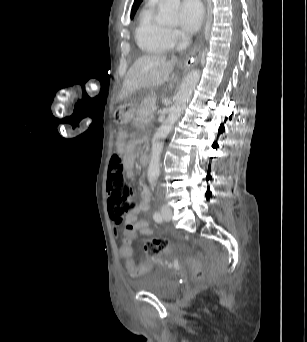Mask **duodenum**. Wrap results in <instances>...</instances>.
<instances>
[{"instance_id":"obj_1","label":"duodenum","mask_w":307,"mask_h":342,"mask_svg":"<svg viewBox=\"0 0 307 342\" xmlns=\"http://www.w3.org/2000/svg\"><path fill=\"white\" fill-rule=\"evenodd\" d=\"M140 162L142 165H147L149 162L148 155L144 154L140 157Z\"/></svg>"}]
</instances>
